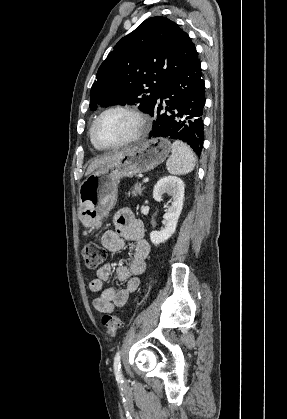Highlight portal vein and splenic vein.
<instances>
[{"label": "portal vein and splenic vein", "mask_w": 287, "mask_h": 419, "mask_svg": "<svg viewBox=\"0 0 287 419\" xmlns=\"http://www.w3.org/2000/svg\"><path fill=\"white\" fill-rule=\"evenodd\" d=\"M149 181V179L148 178H145L144 180H143V183H147Z\"/></svg>", "instance_id": "18ae733b"}]
</instances>
